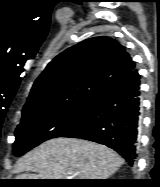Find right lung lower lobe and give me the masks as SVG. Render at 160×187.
<instances>
[{"mask_svg":"<svg viewBox=\"0 0 160 187\" xmlns=\"http://www.w3.org/2000/svg\"><path fill=\"white\" fill-rule=\"evenodd\" d=\"M140 111V75L134 68L99 98L90 117L61 137L104 144L133 166L137 157Z\"/></svg>","mask_w":160,"mask_h":187,"instance_id":"98d812e1","label":"right lung lower lobe"}]
</instances>
